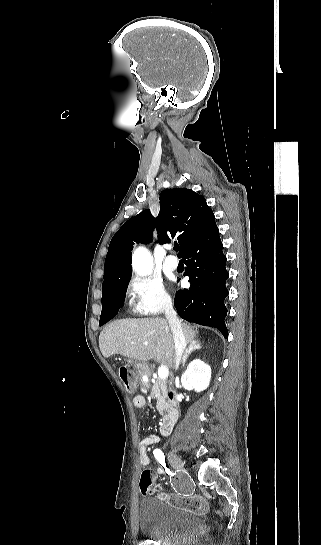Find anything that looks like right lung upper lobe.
I'll use <instances>...</instances> for the list:
<instances>
[{
  "mask_svg": "<svg viewBox=\"0 0 321 545\" xmlns=\"http://www.w3.org/2000/svg\"><path fill=\"white\" fill-rule=\"evenodd\" d=\"M160 212L154 218L144 210L129 219L113 236L105 259L103 290L118 286L131 275V250L135 243H149L157 228L159 243L176 239L183 257L190 245L205 235L215 223V216L205 198L191 189L173 188L160 193Z\"/></svg>",
  "mask_w": 321,
  "mask_h": 545,
  "instance_id": "right-lung-upper-lobe-1",
  "label": "right lung upper lobe"
}]
</instances>
